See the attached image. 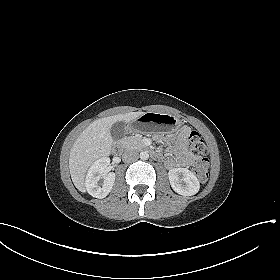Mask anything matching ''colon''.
<instances>
[{"instance_id":"5ec220e1","label":"colon","mask_w":280,"mask_h":280,"mask_svg":"<svg viewBox=\"0 0 280 280\" xmlns=\"http://www.w3.org/2000/svg\"><path fill=\"white\" fill-rule=\"evenodd\" d=\"M187 141L188 147L191 151L199 154L206 153L207 149L205 142L197 131H190ZM193 171L200 181H206L209 172V161L206 158L201 159L193 166Z\"/></svg>"}]
</instances>
